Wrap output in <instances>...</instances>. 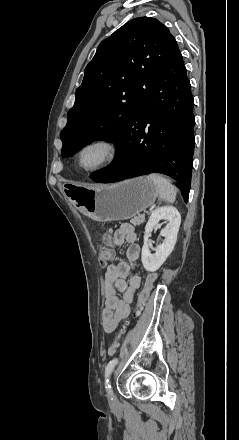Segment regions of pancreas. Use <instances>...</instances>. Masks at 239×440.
Wrapping results in <instances>:
<instances>
[{"label": "pancreas", "instance_id": "pancreas-1", "mask_svg": "<svg viewBox=\"0 0 239 440\" xmlns=\"http://www.w3.org/2000/svg\"><path fill=\"white\" fill-rule=\"evenodd\" d=\"M145 220V214H139V216H134V218H131L130 224H133V226H140V224H143Z\"/></svg>", "mask_w": 239, "mask_h": 440}]
</instances>
